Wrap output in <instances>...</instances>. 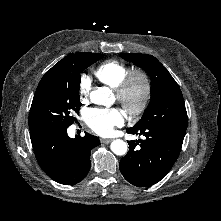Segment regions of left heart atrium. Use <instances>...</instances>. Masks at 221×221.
<instances>
[{
	"label": "left heart atrium",
	"mask_w": 221,
	"mask_h": 221,
	"mask_svg": "<svg viewBox=\"0 0 221 221\" xmlns=\"http://www.w3.org/2000/svg\"><path fill=\"white\" fill-rule=\"evenodd\" d=\"M85 121L94 132L106 136L123 124L124 117L118 108H91L85 113Z\"/></svg>",
	"instance_id": "39dd6f15"
}]
</instances>
